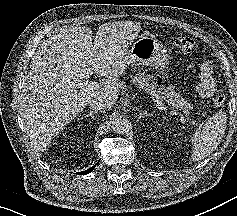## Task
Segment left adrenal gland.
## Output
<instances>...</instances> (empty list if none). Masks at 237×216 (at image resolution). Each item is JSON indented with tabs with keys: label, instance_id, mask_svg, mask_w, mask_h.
Wrapping results in <instances>:
<instances>
[{
	"label": "left adrenal gland",
	"instance_id": "left-adrenal-gland-1",
	"mask_svg": "<svg viewBox=\"0 0 237 216\" xmlns=\"http://www.w3.org/2000/svg\"><path fill=\"white\" fill-rule=\"evenodd\" d=\"M138 111H139V114H138V117H137V121H139L141 118L145 117V113L142 110H138Z\"/></svg>",
	"mask_w": 237,
	"mask_h": 216
}]
</instances>
